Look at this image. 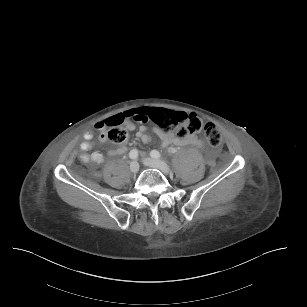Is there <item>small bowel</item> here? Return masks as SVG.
Here are the masks:
<instances>
[{"instance_id":"small-bowel-1","label":"small bowel","mask_w":307,"mask_h":307,"mask_svg":"<svg viewBox=\"0 0 307 307\" xmlns=\"http://www.w3.org/2000/svg\"><path fill=\"white\" fill-rule=\"evenodd\" d=\"M150 110L144 107L136 108L128 112L127 115H130L131 117L134 116H141L144 117ZM127 129L131 130L134 128V125L132 123L127 122L126 123ZM96 128L98 130H102L101 124H97ZM156 133L161 139V144L163 147H167L170 145H191L195 146L199 149H204V143L197 137V135H187L184 137H179L174 133H164L160 130H156ZM136 136L138 139H140L143 142H149L151 140L150 136L147 134V127L145 125H142L139 127ZM100 140L104 141V135L102 134L100 136ZM95 145L94 141V133L92 130H87L84 133V141L80 145V150L83 152L81 159L84 162H93V163H102L105 159L104 154L96 151L91 154H88L86 152L90 151ZM127 151V146L123 145L117 149H112L108 152L110 156H113L118 153H125Z\"/></svg>"}]
</instances>
